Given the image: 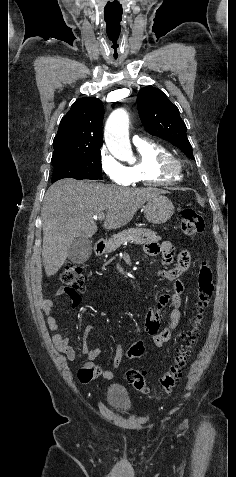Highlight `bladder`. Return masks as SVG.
I'll use <instances>...</instances> for the list:
<instances>
[{
  "label": "bladder",
  "instance_id": "1",
  "mask_svg": "<svg viewBox=\"0 0 236 477\" xmlns=\"http://www.w3.org/2000/svg\"><path fill=\"white\" fill-rule=\"evenodd\" d=\"M106 397L108 404L113 408L127 409L131 405L127 392L117 384L109 386Z\"/></svg>",
  "mask_w": 236,
  "mask_h": 477
}]
</instances>
